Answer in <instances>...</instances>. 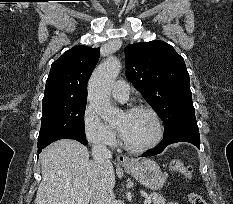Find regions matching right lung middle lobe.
<instances>
[{
	"instance_id": "obj_1",
	"label": "right lung middle lobe",
	"mask_w": 233,
	"mask_h": 204,
	"mask_svg": "<svg viewBox=\"0 0 233 204\" xmlns=\"http://www.w3.org/2000/svg\"><path fill=\"white\" fill-rule=\"evenodd\" d=\"M85 108L86 99L42 103L38 148L59 139L86 138L84 133Z\"/></svg>"
}]
</instances>
